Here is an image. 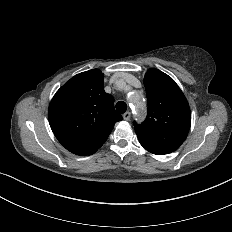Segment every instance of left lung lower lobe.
Wrapping results in <instances>:
<instances>
[{
	"mask_svg": "<svg viewBox=\"0 0 232 232\" xmlns=\"http://www.w3.org/2000/svg\"><path fill=\"white\" fill-rule=\"evenodd\" d=\"M146 150H148L149 152L153 153V154H157V155H163V154H168L171 153L165 149H161V148H146Z\"/></svg>",
	"mask_w": 232,
	"mask_h": 232,
	"instance_id": "left-lung-lower-lobe-1",
	"label": "left lung lower lobe"
}]
</instances>
